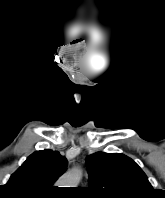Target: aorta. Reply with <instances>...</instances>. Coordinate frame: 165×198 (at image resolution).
I'll list each match as a JSON object with an SVG mask.
<instances>
[{
    "mask_svg": "<svg viewBox=\"0 0 165 198\" xmlns=\"http://www.w3.org/2000/svg\"><path fill=\"white\" fill-rule=\"evenodd\" d=\"M82 178L80 169H73L60 179V187H76Z\"/></svg>",
    "mask_w": 165,
    "mask_h": 198,
    "instance_id": "1",
    "label": "aorta"
}]
</instances>
